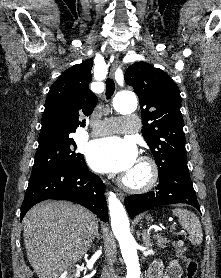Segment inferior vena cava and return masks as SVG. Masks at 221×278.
I'll use <instances>...</instances> for the list:
<instances>
[{
    "label": "inferior vena cava",
    "mask_w": 221,
    "mask_h": 278,
    "mask_svg": "<svg viewBox=\"0 0 221 278\" xmlns=\"http://www.w3.org/2000/svg\"><path fill=\"white\" fill-rule=\"evenodd\" d=\"M102 278H117L113 268L106 266L102 271Z\"/></svg>",
    "instance_id": "inferior-vena-cava-1"
}]
</instances>
